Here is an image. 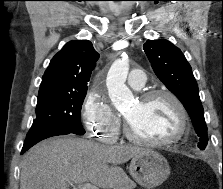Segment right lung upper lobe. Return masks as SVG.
Here are the masks:
<instances>
[{
    "mask_svg": "<svg viewBox=\"0 0 223 189\" xmlns=\"http://www.w3.org/2000/svg\"><path fill=\"white\" fill-rule=\"evenodd\" d=\"M99 54L90 41L73 40L52 58L46 69L39 93L87 89Z\"/></svg>",
    "mask_w": 223,
    "mask_h": 189,
    "instance_id": "obj_1",
    "label": "right lung upper lobe"
}]
</instances>
